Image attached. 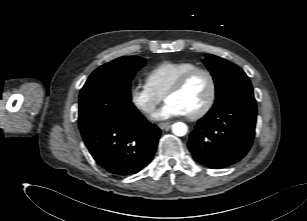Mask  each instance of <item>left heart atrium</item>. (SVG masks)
<instances>
[{"instance_id":"39dd6f15","label":"left heart atrium","mask_w":307,"mask_h":221,"mask_svg":"<svg viewBox=\"0 0 307 221\" xmlns=\"http://www.w3.org/2000/svg\"><path fill=\"white\" fill-rule=\"evenodd\" d=\"M186 115L184 110L175 102H166L154 115V120H166Z\"/></svg>"}]
</instances>
